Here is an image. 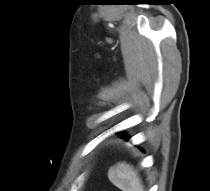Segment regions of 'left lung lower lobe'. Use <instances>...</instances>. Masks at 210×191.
<instances>
[{
    "label": "left lung lower lobe",
    "mask_w": 210,
    "mask_h": 191,
    "mask_svg": "<svg viewBox=\"0 0 210 191\" xmlns=\"http://www.w3.org/2000/svg\"><path fill=\"white\" fill-rule=\"evenodd\" d=\"M121 138H124V139H126V140H129V138H126V137H124V136H120Z\"/></svg>",
    "instance_id": "obj_1"
}]
</instances>
